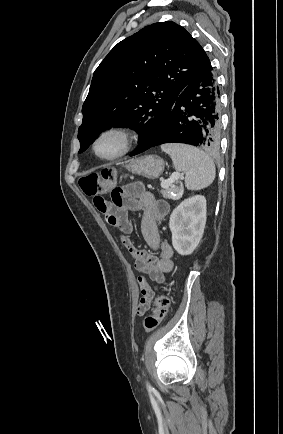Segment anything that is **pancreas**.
Here are the masks:
<instances>
[{"mask_svg": "<svg viewBox=\"0 0 283 434\" xmlns=\"http://www.w3.org/2000/svg\"><path fill=\"white\" fill-rule=\"evenodd\" d=\"M160 193L162 196L166 199H179L183 194V189L175 186H168L163 188ZM172 193H175V196L172 195Z\"/></svg>", "mask_w": 283, "mask_h": 434, "instance_id": "pancreas-1", "label": "pancreas"}]
</instances>
